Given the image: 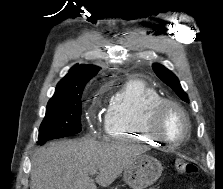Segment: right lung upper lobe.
Listing matches in <instances>:
<instances>
[{
	"label": "right lung upper lobe",
	"mask_w": 223,
	"mask_h": 189,
	"mask_svg": "<svg viewBox=\"0 0 223 189\" xmlns=\"http://www.w3.org/2000/svg\"><path fill=\"white\" fill-rule=\"evenodd\" d=\"M99 68L94 65H78L58 83L54 96H67L84 89L90 79L96 76Z\"/></svg>",
	"instance_id": "cb5924a9"
}]
</instances>
